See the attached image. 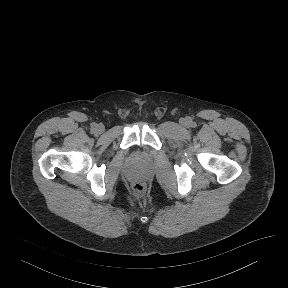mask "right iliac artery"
<instances>
[{
	"label": "right iliac artery",
	"instance_id": "1",
	"mask_svg": "<svg viewBox=\"0 0 288 288\" xmlns=\"http://www.w3.org/2000/svg\"><path fill=\"white\" fill-rule=\"evenodd\" d=\"M91 127H92V130H96L97 124L94 123V124H92Z\"/></svg>",
	"mask_w": 288,
	"mask_h": 288
}]
</instances>
